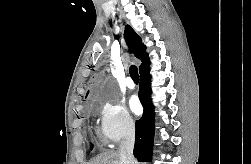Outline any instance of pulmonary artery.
Wrapping results in <instances>:
<instances>
[{
    "label": "pulmonary artery",
    "mask_w": 251,
    "mask_h": 164,
    "mask_svg": "<svg viewBox=\"0 0 251 164\" xmlns=\"http://www.w3.org/2000/svg\"><path fill=\"white\" fill-rule=\"evenodd\" d=\"M126 85H127V87L129 89H133L135 87V84H134L133 80L130 77L127 78Z\"/></svg>",
    "instance_id": "1"
}]
</instances>
